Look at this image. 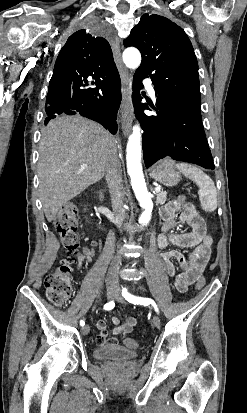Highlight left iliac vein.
<instances>
[{"label": "left iliac vein", "mask_w": 247, "mask_h": 413, "mask_svg": "<svg viewBox=\"0 0 247 413\" xmlns=\"http://www.w3.org/2000/svg\"><path fill=\"white\" fill-rule=\"evenodd\" d=\"M113 299H115L116 301L121 302V303H124V302H125L118 288H117V290H116V292H115V294H114V296H113ZM152 325H153L154 327H157V328L160 327V318H159L158 315H155V316L153 317Z\"/></svg>", "instance_id": "left-iliac-vein-1"}]
</instances>
